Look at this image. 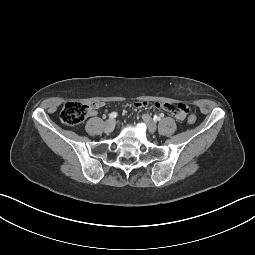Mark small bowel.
I'll return each instance as SVG.
<instances>
[{"label":"small bowel","mask_w":255,"mask_h":255,"mask_svg":"<svg viewBox=\"0 0 255 255\" xmlns=\"http://www.w3.org/2000/svg\"><path fill=\"white\" fill-rule=\"evenodd\" d=\"M146 102H138L136 103L137 106L146 105ZM102 105V103L96 102L91 105L90 115L94 116L97 114V109ZM155 106L158 108H162L166 112L170 113L171 115H175L174 117L178 120H183L186 116H188L191 112V109L186 104L180 103H155Z\"/></svg>","instance_id":"1"}]
</instances>
